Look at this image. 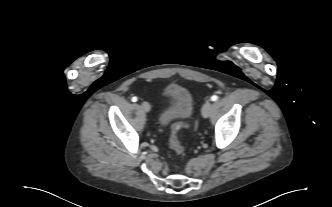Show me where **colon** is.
Here are the masks:
<instances>
[{
    "label": "colon",
    "instance_id": "obj_1",
    "mask_svg": "<svg viewBox=\"0 0 332 207\" xmlns=\"http://www.w3.org/2000/svg\"><path fill=\"white\" fill-rule=\"evenodd\" d=\"M187 123L183 120H176L171 127V134L169 137V147L177 155H181L184 152V147L179 139L180 132L186 128Z\"/></svg>",
    "mask_w": 332,
    "mask_h": 207
}]
</instances>
